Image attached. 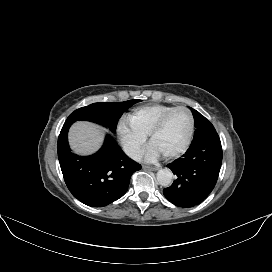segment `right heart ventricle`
<instances>
[{"label":"right heart ventricle","mask_w":272,"mask_h":272,"mask_svg":"<svg viewBox=\"0 0 272 272\" xmlns=\"http://www.w3.org/2000/svg\"><path fill=\"white\" fill-rule=\"evenodd\" d=\"M173 106L166 104H148L135 108L128 116L129 126L147 136L157 120Z\"/></svg>","instance_id":"obj_1"}]
</instances>
